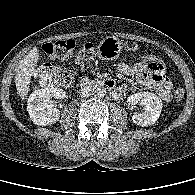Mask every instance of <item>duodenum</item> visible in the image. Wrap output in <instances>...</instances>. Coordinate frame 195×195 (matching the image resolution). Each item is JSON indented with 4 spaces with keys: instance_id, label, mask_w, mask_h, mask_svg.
Listing matches in <instances>:
<instances>
[{
    "instance_id": "obj_1",
    "label": "duodenum",
    "mask_w": 195,
    "mask_h": 195,
    "mask_svg": "<svg viewBox=\"0 0 195 195\" xmlns=\"http://www.w3.org/2000/svg\"><path fill=\"white\" fill-rule=\"evenodd\" d=\"M80 85L82 88H85L88 86L102 87V88L108 89L110 92H112V94L117 91V86L111 80H100L95 83L90 82L88 80H83Z\"/></svg>"
}]
</instances>
